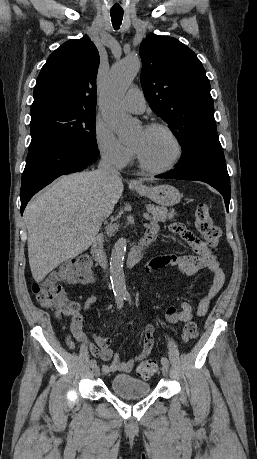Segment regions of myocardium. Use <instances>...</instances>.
Returning a JSON list of instances; mask_svg holds the SVG:
<instances>
[{
	"mask_svg": "<svg viewBox=\"0 0 257 459\" xmlns=\"http://www.w3.org/2000/svg\"><path fill=\"white\" fill-rule=\"evenodd\" d=\"M144 129L163 130L172 139L175 145V148H176V152H175L173 159L167 165L162 166V167H153L144 161L138 149L135 146H133V149H134V152H135V155H136V158L138 160L140 167L147 172L155 173V174L165 173V172L172 170L181 160L182 155H183V146H182L180 139L176 135V133L169 126H167L164 123H160V122L148 123L144 126Z\"/></svg>",
	"mask_w": 257,
	"mask_h": 459,
	"instance_id": "obj_1",
	"label": "myocardium"
}]
</instances>
